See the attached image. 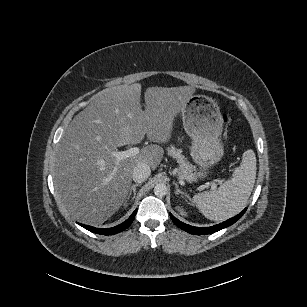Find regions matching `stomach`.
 <instances>
[{
    "mask_svg": "<svg viewBox=\"0 0 307 307\" xmlns=\"http://www.w3.org/2000/svg\"><path fill=\"white\" fill-rule=\"evenodd\" d=\"M183 127L192 139L190 155L200 166L196 178L207 176L208 168L218 163L224 155L221 140L223 119L215 100L205 95H193L181 112Z\"/></svg>",
    "mask_w": 307,
    "mask_h": 307,
    "instance_id": "0dacf381",
    "label": "stomach"
}]
</instances>
